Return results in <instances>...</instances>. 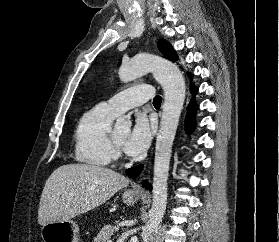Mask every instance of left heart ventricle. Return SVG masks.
<instances>
[{"mask_svg": "<svg viewBox=\"0 0 279 242\" xmlns=\"http://www.w3.org/2000/svg\"><path fill=\"white\" fill-rule=\"evenodd\" d=\"M114 138L115 140L122 146L125 145V142L129 135V128H122L114 132Z\"/></svg>", "mask_w": 279, "mask_h": 242, "instance_id": "obj_1", "label": "left heart ventricle"}]
</instances>
